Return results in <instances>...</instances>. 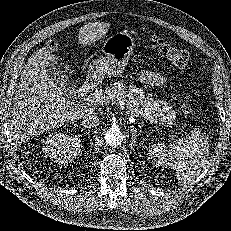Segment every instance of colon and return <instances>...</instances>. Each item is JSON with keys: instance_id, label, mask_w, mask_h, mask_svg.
Segmentation results:
<instances>
[{"instance_id": "colon-1", "label": "colon", "mask_w": 231, "mask_h": 231, "mask_svg": "<svg viewBox=\"0 0 231 231\" xmlns=\"http://www.w3.org/2000/svg\"><path fill=\"white\" fill-rule=\"evenodd\" d=\"M151 48L160 56L166 58L169 62L177 67H184L188 64L190 56L188 51L177 48L171 44L157 39L152 41ZM182 109L186 113H192L195 110V106L192 102L190 95H187L182 103Z\"/></svg>"}]
</instances>
